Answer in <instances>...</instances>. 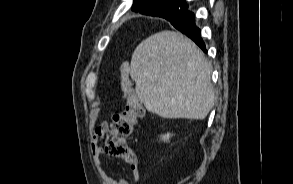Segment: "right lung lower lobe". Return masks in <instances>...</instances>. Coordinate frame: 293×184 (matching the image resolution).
Masks as SVG:
<instances>
[{"label":"right lung lower lobe","instance_id":"right-lung-lower-lobe-1","mask_svg":"<svg viewBox=\"0 0 293 184\" xmlns=\"http://www.w3.org/2000/svg\"><path fill=\"white\" fill-rule=\"evenodd\" d=\"M167 20L179 31L191 38L204 52L205 44L200 37V29L195 25L194 14L186 9L180 10Z\"/></svg>","mask_w":293,"mask_h":184}]
</instances>
